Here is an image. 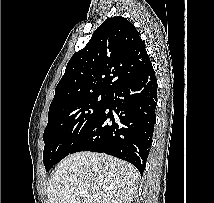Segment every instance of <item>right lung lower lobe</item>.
I'll list each match as a JSON object with an SVG mask.
<instances>
[{
	"mask_svg": "<svg viewBox=\"0 0 214 203\" xmlns=\"http://www.w3.org/2000/svg\"><path fill=\"white\" fill-rule=\"evenodd\" d=\"M156 105L157 79L151 66L108 93L105 107L70 154L106 153L132 163L142 175L151 147Z\"/></svg>",
	"mask_w": 214,
	"mask_h": 203,
	"instance_id": "98d812e1",
	"label": "right lung lower lobe"
}]
</instances>
